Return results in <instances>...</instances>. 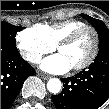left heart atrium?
Masks as SVG:
<instances>
[{
  "label": "left heart atrium",
  "mask_w": 109,
  "mask_h": 109,
  "mask_svg": "<svg viewBox=\"0 0 109 109\" xmlns=\"http://www.w3.org/2000/svg\"><path fill=\"white\" fill-rule=\"evenodd\" d=\"M40 67L53 74H62L71 69V65L61 53L45 58Z\"/></svg>",
  "instance_id": "1"
}]
</instances>
